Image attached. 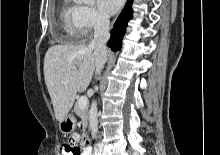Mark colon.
Returning <instances> with one entry per match:
<instances>
[{"mask_svg":"<svg viewBox=\"0 0 220 155\" xmlns=\"http://www.w3.org/2000/svg\"><path fill=\"white\" fill-rule=\"evenodd\" d=\"M85 145H68L65 143L62 147V155H81V148Z\"/></svg>","mask_w":220,"mask_h":155,"instance_id":"5ec220e1","label":"colon"}]
</instances>
